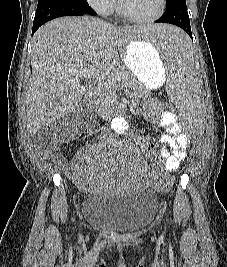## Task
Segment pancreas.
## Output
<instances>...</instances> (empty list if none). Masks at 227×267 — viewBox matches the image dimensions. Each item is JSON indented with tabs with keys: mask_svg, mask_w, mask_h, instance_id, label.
Listing matches in <instances>:
<instances>
[{
	"mask_svg": "<svg viewBox=\"0 0 227 267\" xmlns=\"http://www.w3.org/2000/svg\"><path fill=\"white\" fill-rule=\"evenodd\" d=\"M107 78L109 79V81H107V85L98 84L97 86V93L94 97V105L98 111L109 109L113 105L112 95L117 81H121L133 89H136V86L143 87L135 76L129 75L124 70L115 69L107 76Z\"/></svg>",
	"mask_w": 227,
	"mask_h": 267,
	"instance_id": "cf45deb5",
	"label": "pancreas"
}]
</instances>
